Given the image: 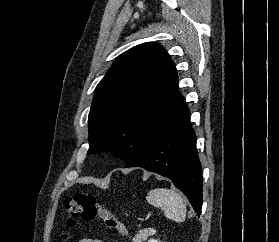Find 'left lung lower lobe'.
Here are the masks:
<instances>
[{"instance_id": "left-lung-lower-lobe-1", "label": "left lung lower lobe", "mask_w": 279, "mask_h": 242, "mask_svg": "<svg viewBox=\"0 0 279 242\" xmlns=\"http://www.w3.org/2000/svg\"><path fill=\"white\" fill-rule=\"evenodd\" d=\"M125 167H142L169 178L187 196L195 212L201 213V166L187 106L174 124Z\"/></svg>"}]
</instances>
